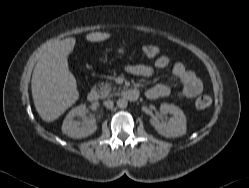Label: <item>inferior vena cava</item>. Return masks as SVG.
I'll use <instances>...</instances> for the list:
<instances>
[{"mask_svg":"<svg viewBox=\"0 0 249 188\" xmlns=\"http://www.w3.org/2000/svg\"><path fill=\"white\" fill-rule=\"evenodd\" d=\"M103 104L106 108H109V109L113 108L114 106V102L112 100H106L103 102Z\"/></svg>","mask_w":249,"mask_h":188,"instance_id":"obj_1","label":"inferior vena cava"}]
</instances>
